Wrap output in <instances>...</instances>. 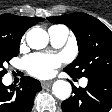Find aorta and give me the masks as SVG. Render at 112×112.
<instances>
[{"mask_svg": "<svg viewBox=\"0 0 112 112\" xmlns=\"http://www.w3.org/2000/svg\"><path fill=\"white\" fill-rule=\"evenodd\" d=\"M27 44L32 49H43L49 41L48 33L42 28H32L26 36ZM72 87L68 81L57 80L53 83L52 93L60 100H66L70 97Z\"/></svg>", "mask_w": 112, "mask_h": 112, "instance_id": "obj_1", "label": "aorta"}]
</instances>
